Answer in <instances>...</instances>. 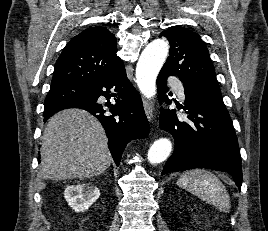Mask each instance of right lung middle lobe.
Wrapping results in <instances>:
<instances>
[{
	"instance_id": "1",
	"label": "right lung middle lobe",
	"mask_w": 268,
	"mask_h": 231,
	"mask_svg": "<svg viewBox=\"0 0 268 231\" xmlns=\"http://www.w3.org/2000/svg\"><path fill=\"white\" fill-rule=\"evenodd\" d=\"M87 90V87L76 85L51 86L44 105L48 103L66 102L69 100L84 98L88 94Z\"/></svg>"
}]
</instances>
